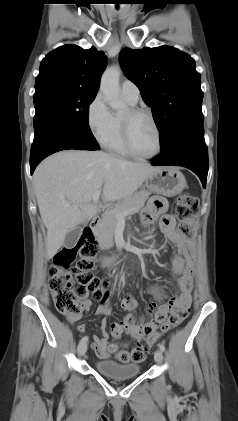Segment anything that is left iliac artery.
I'll return each instance as SVG.
<instances>
[{"instance_id": "left-iliac-artery-1", "label": "left iliac artery", "mask_w": 238, "mask_h": 421, "mask_svg": "<svg viewBox=\"0 0 238 421\" xmlns=\"http://www.w3.org/2000/svg\"><path fill=\"white\" fill-rule=\"evenodd\" d=\"M159 348L162 352L165 351V346L162 343H159Z\"/></svg>"}]
</instances>
